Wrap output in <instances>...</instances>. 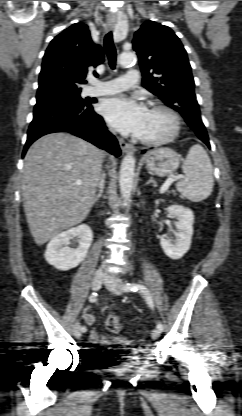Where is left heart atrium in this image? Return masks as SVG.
<instances>
[{
  "label": "left heart atrium",
  "mask_w": 242,
  "mask_h": 416,
  "mask_svg": "<svg viewBox=\"0 0 242 416\" xmlns=\"http://www.w3.org/2000/svg\"><path fill=\"white\" fill-rule=\"evenodd\" d=\"M100 111L106 120L122 134L138 136L147 108L135 98L118 95L104 100Z\"/></svg>",
  "instance_id": "left-heart-atrium-1"
}]
</instances>
